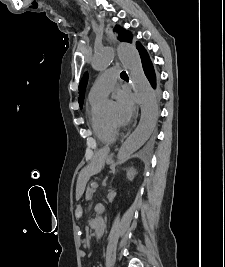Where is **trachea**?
Listing matches in <instances>:
<instances>
[{"label":"trachea","instance_id":"3493384b","mask_svg":"<svg viewBox=\"0 0 225 267\" xmlns=\"http://www.w3.org/2000/svg\"><path fill=\"white\" fill-rule=\"evenodd\" d=\"M121 77H127V74H126L125 71H122V72H121Z\"/></svg>","mask_w":225,"mask_h":267}]
</instances>
